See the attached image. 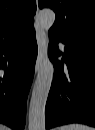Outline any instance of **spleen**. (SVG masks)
I'll list each match as a JSON object with an SVG mask.
<instances>
[{
  "instance_id": "3e777b00",
  "label": "spleen",
  "mask_w": 95,
  "mask_h": 130,
  "mask_svg": "<svg viewBox=\"0 0 95 130\" xmlns=\"http://www.w3.org/2000/svg\"><path fill=\"white\" fill-rule=\"evenodd\" d=\"M59 130H93V129L83 124H68L60 127Z\"/></svg>"
}]
</instances>
